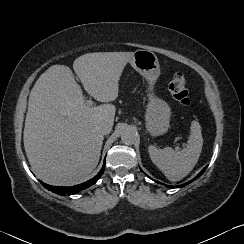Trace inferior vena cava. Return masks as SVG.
I'll return each mask as SVG.
<instances>
[{
    "mask_svg": "<svg viewBox=\"0 0 244 244\" xmlns=\"http://www.w3.org/2000/svg\"><path fill=\"white\" fill-rule=\"evenodd\" d=\"M98 130L99 132L102 134V135H107L110 133L111 131V126L109 123L107 122H101L99 125H98Z\"/></svg>",
    "mask_w": 244,
    "mask_h": 244,
    "instance_id": "1",
    "label": "inferior vena cava"
}]
</instances>
